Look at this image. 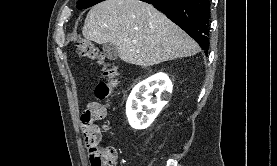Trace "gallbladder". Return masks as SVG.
Segmentation results:
<instances>
[{"mask_svg":"<svg viewBox=\"0 0 277 166\" xmlns=\"http://www.w3.org/2000/svg\"><path fill=\"white\" fill-rule=\"evenodd\" d=\"M102 49L105 57L109 60H115L118 58V50L113 43L108 42L103 44Z\"/></svg>","mask_w":277,"mask_h":166,"instance_id":"gallbladder-1","label":"gallbladder"}]
</instances>
